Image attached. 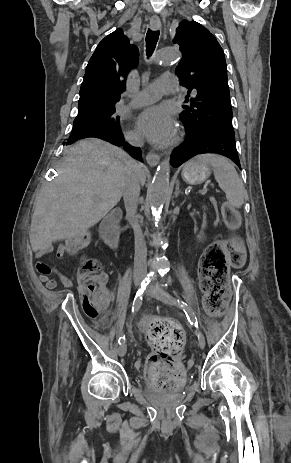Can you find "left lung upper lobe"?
<instances>
[{
    "label": "left lung upper lobe",
    "instance_id": "left-lung-upper-lobe-1",
    "mask_svg": "<svg viewBox=\"0 0 291 463\" xmlns=\"http://www.w3.org/2000/svg\"><path fill=\"white\" fill-rule=\"evenodd\" d=\"M174 43L183 58L175 74L188 88L191 108L180 114L188 126L234 134L224 52L216 38L201 24L184 20L176 29Z\"/></svg>",
    "mask_w": 291,
    "mask_h": 463
}]
</instances>
